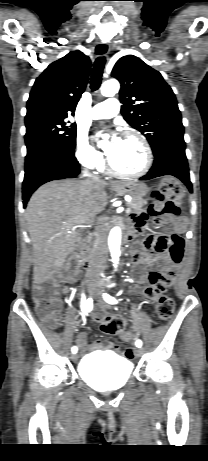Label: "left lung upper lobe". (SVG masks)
Here are the masks:
<instances>
[{"label": "left lung upper lobe", "mask_w": 208, "mask_h": 461, "mask_svg": "<svg viewBox=\"0 0 208 461\" xmlns=\"http://www.w3.org/2000/svg\"><path fill=\"white\" fill-rule=\"evenodd\" d=\"M111 75L121 83L124 119L147 138L153 153L168 143L184 142L175 95L158 71L127 55L117 61Z\"/></svg>", "instance_id": "5c2ea615"}]
</instances>
